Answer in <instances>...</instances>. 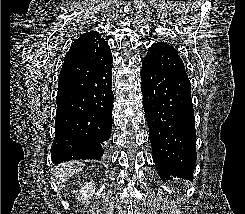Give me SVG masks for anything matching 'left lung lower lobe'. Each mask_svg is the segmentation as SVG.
Returning <instances> with one entry per match:
<instances>
[{"label": "left lung lower lobe", "mask_w": 245, "mask_h": 214, "mask_svg": "<svg viewBox=\"0 0 245 214\" xmlns=\"http://www.w3.org/2000/svg\"><path fill=\"white\" fill-rule=\"evenodd\" d=\"M141 91L153 160L163 181H193L197 159L194 110L188 77L142 66Z\"/></svg>", "instance_id": "obj_1"}]
</instances>
